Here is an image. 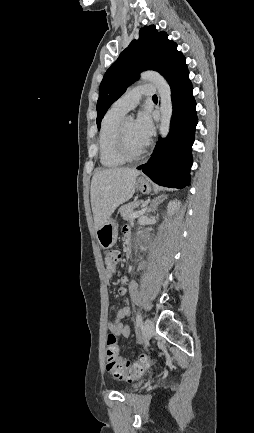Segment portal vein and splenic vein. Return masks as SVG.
I'll list each match as a JSON object with an SVG mask.
<instances>
[{
    "label": "portal vein and splenic vein",
    "mask_w": 254,
    "mask_h": 433,
    "mask_svg": "<svg viewBox=\"0 0 254 433\" xmlns=\"http://www.w3.org/2000/svg\"><path fill=\"white\" fill-rule=\"evenodd\" d=\"M145 212H146V208H143L142 210H139V211H137V212H134V213L131 215V218H132V219H133V218H137V217L143 215Z\"/></svg>",
    "instance_id": "portal-vein-and-splenic-vein-1"
}]
</instances>
